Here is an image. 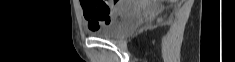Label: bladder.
<instances>
[{
  "label": "bladder",
  "instance_id": "bladder-1",
  "mask_svg": "<svg viewBox=\"0 0 235 62\" xmlns=\"http://www.w3.org/2000/svg\"><path fill=\"white\" fill-rule=\"evenodd\" d=\"M141 20V10L134 3L126 4L113 18L90 34L102 39H118L133 30Z\"/></svg>",
  "mask_w": 235,
  "mask_h": 62
}]
</instances>
